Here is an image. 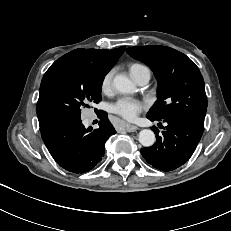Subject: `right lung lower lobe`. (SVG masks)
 <instances>
[{
  "label": "right lung lower lobe",
  "instance_id": "obj_1",
  "mask_svg": "<svg viewBox=\"0 0 231 231\" xmlns=\"http://www.w3.org/2000/svg\"><path fill=\"white\" fill-rule=\"evenodd\" d=\"M99 128H85L81 119L62 121L41 131V137L54 158L64 169L84 173L100 162L105 151V142L116 131L107 118V113L98 111Z\"/></svg>",
  "mask_w": 231,
  "mask_h": 231
}]
</instances>
